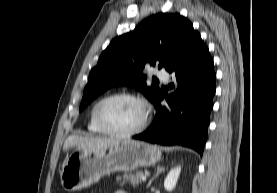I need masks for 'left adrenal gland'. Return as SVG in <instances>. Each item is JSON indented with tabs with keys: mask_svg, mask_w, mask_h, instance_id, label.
<instances>
[{
	"mask_svg": "<svg viewBox=\"0 0 277 193\" xmlns=\"http://www.w3.org/2000/svg\"><path fill=\"white\" fill-rule=\"evenodd\" d=\"M164 171H165V168H164L163 166H157V172H156V174L150 179V181L148 182L147 188H149L150 185H151V183H152V181H153L160 173H162V172H164Z\"/></svg>",
	"mask_w": 277,
	"mask_h": 193,
	"instance_id": "left-adrenal-gland-1",
	"label": "left adrenal gland"
}]
</instances>
